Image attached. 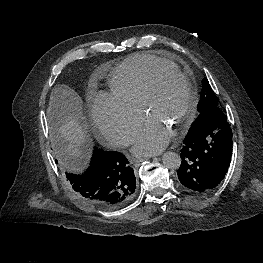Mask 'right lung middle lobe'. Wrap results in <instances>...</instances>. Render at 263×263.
Instances as JSON below:
<instances>
[{"instance_id": "right-lung-middle-lobe-1", "label": "right lung middle lobe", "mask_w": 263, "mask_h": 263, "mask_svg": "<svg viewBox=\"0 0 263 263\" xmlns=\"http://www.w3.org/2000/svg\"><path fill=\"white\" fill-rule=\"evenodd\" d=\"M62 141L59 138H55L54 139V153H55V161L56 164L58 165V168L60 170V172L62 173V175L67 178V176L69 174L74 173L72 171V167L67 163L66 159H70L68 158L62 151Z\"/></svg>"}]
</instances>
